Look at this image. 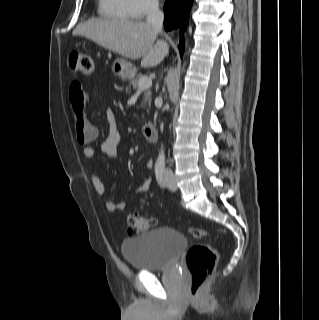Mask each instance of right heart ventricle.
Wrapping results in <instances>:
<instances>
[{
	"label": "right heart ventricle",
	"instance_id": "right-heart-ventricle-1",
	"mask_svg": "<svg viewBox=\"0 0 319 320\" xmlns=\"http://www.w3.org/2000/svg\"><path fill=\"white\" fill-rule=\"evenodd\" d=\"M98 12L112 20H129L131 18L125 0H98Z\"/></svg>",
	"mask_w": 319,
	"mask_h": 320
}]
</instances>
